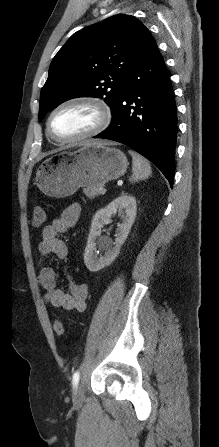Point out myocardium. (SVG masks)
I'll list each match as a JSON object with an SVG mask.
<instances>
[{
  "label": "myocardium",
  "instance_id": "obj_1",
  "mask_svg": "<svg viewBox=\"0 0 219 447\" xmlns=\"http://www.w3.org/2000/svg\"><path fill=\"white\" fill-rule=\"evenodd\" d=\"M83 105L92 108L97 115V122L94 127L86 133L72 138H62L57 136L52 130V119L62 109L70 106ZM112 121V111L110 106L97 97L93 96H75L59 103L49 114L46 122V128L49 136L60 143H76L99 135L108 128Z\"/></svg>",
  "mask_w": 219,
  "mask_h": 447
}]
</instances>
